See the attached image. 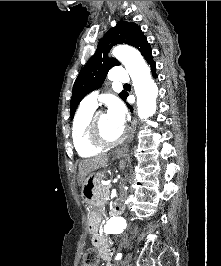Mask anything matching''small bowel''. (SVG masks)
<instances>
[{
  "mask_svg": "<svg viewBox=\"0 0 221 266\" xmlns=\"http://www.w3.org/2000/svg\"><path fill=\"white\" fill-rule=\"evenodd\" d=\"M92 244L98 250L100 258L106 266H114L110 262L113 255V247L108 240V236L103 233H94L92 235Z\"/></svg>",
  "mask_w": 221,
  "mask_h": 266,
  "instance_id": "1",
  "label": "small bowel"
}]
</instances>
